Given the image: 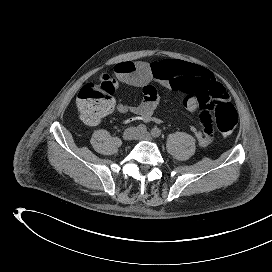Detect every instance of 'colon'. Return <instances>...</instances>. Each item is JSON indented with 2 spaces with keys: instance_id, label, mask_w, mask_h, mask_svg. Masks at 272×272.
I'll return each mask as SVG.
<instances>
[{
  "instance_id": "5ec220e1",
  "label": "colon",
  "mask_w": 272,
  "mask_h": 272,
  "mask_svg": "<svg viewBox=\"0 0 272 272\" xmlns=\"http://www.w3.org/2000/svg\"><path fill=\"white\" fill-rule=\"evenodd\" d=\"M115 81L104 75L97 83H87L78 92L76 105L82 120L95 125L109 114L113 105ZM215 124L223 135H230L237 126L238 116L234 107L228 102L227 96L213 99Z\"/></svg>"
}]
</instances>
